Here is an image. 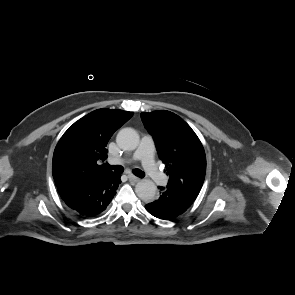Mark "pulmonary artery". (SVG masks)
<instances>
[{
    "mask_svg": "<svg viewBox=\"0 0 295 295\" xmlns=\"http://www.w3.org/2000/svg\"><path fill=\"white\" fill-rule=\"evenodd\" d=\"M140 160L149 177L158 185H164L167 177L158 169L154 161V142L151 136L142 137L138 149L135 151L131 159L121 160L119 164L130 163Z\"/></svg>",
    "mask_w": 295,
    "mask_h": 295,
    "instance_id": "pulmonary-artery-1",
    "label": "pulmonary artery"
}]
</instances>
